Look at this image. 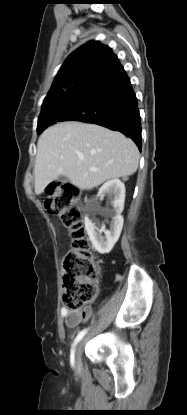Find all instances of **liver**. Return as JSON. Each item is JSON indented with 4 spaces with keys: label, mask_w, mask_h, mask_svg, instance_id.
I'll return each instance as SVG.
<instances>
[{
    "label": "liver",
    "mask_w": 187,
    "mask_h": 415,
    "mask_svg": "<svg viewBox=\"0 0 187 415\" xmlns=\"http://www.w3.org/2000/svg\"><path fill=\"white\" fill-rule=\"evenodd\" d=\"M138 163L137 146L120 132L77 121L57 123L37 142L35 193H43L60 175L90 190L109 179L133 175Z\"/></svg>",
    "instance_id": "obj_1"
}]
</instances>
